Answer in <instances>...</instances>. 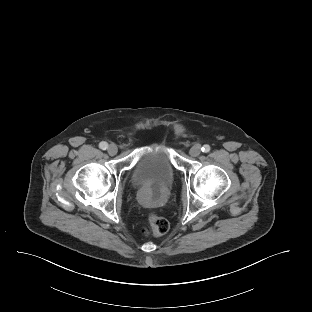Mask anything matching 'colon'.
Here are the masks:
<instances>
[{"label":"colon","mask_w":312,"mask_h":312,"mask_svg":"<svg viewBox=\"0 0 312 312\" xmlns=\"http://www.w3.org/2000/svg\"><path fill=\"white\" fill-rule=\"evenodd\" d=\"M169 230L168 221L157 215L150 214L147 219V225L144 229V233L148 236H160L165 234Z\"/></svg>","instance_id":"obj_1"}]
</instances>
